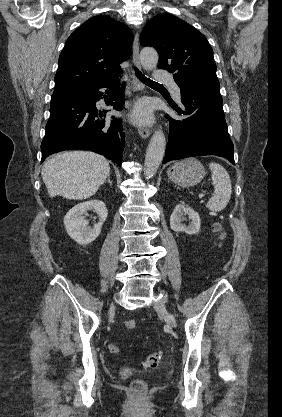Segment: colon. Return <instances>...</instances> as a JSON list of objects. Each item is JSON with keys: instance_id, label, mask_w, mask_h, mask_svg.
Listing matches in <instances>:
<instances>
[{"instance_id": "colon-1", "label": "colon", "mask_w": 282, "mask_h": 417, "mask_svg": "<svg viewBox=\"0 0 282 417\" xmlns=\"http://www.w3.org/2000/svg\"><path fill=\"white\" fill-rule=\"evenodd\" d=\"M213 232L218 236L219 239H222L223 228L222 225L217 223L213 227ZM124 326L128 330H135L137 327L136 320L127 319L124 322ZM121 348L117 343H112L109 345V352L111 354H118ZM162 359V354L160 352H150L145 360L144 367L155 369L159 366ZM131 402L132 403H147L148 402V393L150 392V385L147 384L146 379H131Z\"/></svg>"}]
</instances>
